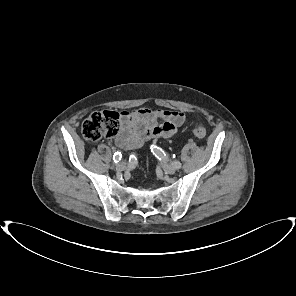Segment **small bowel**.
I'll list each match as a JSON object with an SVG mask.
<instances>
[{
	"instance_id": "c3829d8e",
	"label": "small bowel",
	"mask_w": 296,
	"mask_h": 296,
	"mask_svg": "<svg viewBox=\"0 0 296 296\" xmlns=\"http://www.w3.org/2000/svg\"><path fill=\"white\" fill-rule=\"evenodd\" d=\"M187 122L184 113L167 109L139 108L121 113L120 130L115 138L118 147L139 148L157 138L175 137Z\"/></svg>"
}]
</instances>
